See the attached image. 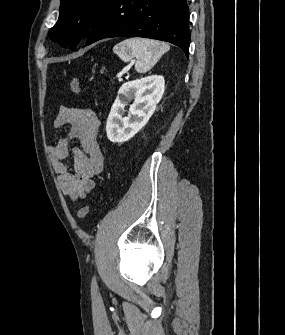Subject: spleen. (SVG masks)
I'll return each instance as SVG.
<instances>
[{"label": "spleen", "mask_w": 285, "mask_h": 335, "mask_svg": "<svg viewBox=\"0 0 285 335\" xmlns=\"http://www.w3.org/2000/svg\"><path fill=\"white\" fill-rule=\"evenodd\" d=\"M168 50H170L168 44L147 38H129L113 48L114 54H117L123 62H130L132 58H136L135 70L140 74L151 70Z\"/></svg>", "instance_id": "spleen-1"}]
</instances>
